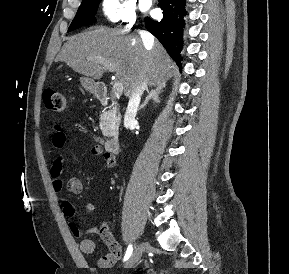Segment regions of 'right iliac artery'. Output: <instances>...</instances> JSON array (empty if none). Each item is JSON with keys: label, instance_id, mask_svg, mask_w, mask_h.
<instances>
[{"label": "right iliac artery", "instance_id": "1", "mask_svg": "<svg viewBox=\"0 0 289 274\" xmlns=\"http://www.w3.org/2000/svg\"><path fill=\"white\" fill-rule=\"evenodd\" d=\"M132 251H133V247H132V245L130 244V245L128 246V248H127V251H126V253H125V256H124L123 261H127V260L130 258L131 254H132Z\"/></svg>", "mask_w": 289, "mask_h": 274}]
</instances>
